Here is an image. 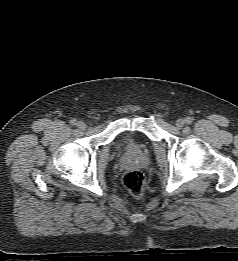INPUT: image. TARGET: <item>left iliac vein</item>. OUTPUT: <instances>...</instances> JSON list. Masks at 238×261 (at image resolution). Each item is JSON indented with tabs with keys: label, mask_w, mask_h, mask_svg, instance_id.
Instances as JSON below:
<instances>
[{
	"label": "left iliac vein",
	"mask_w": 238,
	"mask_h": 261,
	"mask_svg": "<svg viewBox=\"0 0 238 261\" xmlns=\"http://www.w3.org/2000/svg\"><path fill=\"white\" fill-rule=\"evenodd\" d=\"M184 124H185V120H183V119H178L177 121H176V127L178 128V129H180V128H182L183 126H184Z\"/></svg>",
	"instance_id": "1"
}]
</instances>
